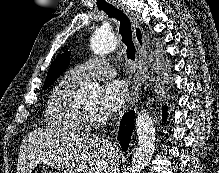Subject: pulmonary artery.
Listing matches in <instances>:
<instances>
[{
  "label": "pulmonary artery",
  "instance_id": "e3ab8cb5",
  "mask_svg": "<svg viewBox=\"0 0 219 173\" xmlns=\"http://www.w3.org/2000/svg\"><path fill=\"white\" fill-rule=\"evenodd\" d=\"M113 73L114 69L107 59L92 57L70 69L66 77L75 83L82 84L90 79L109 77Z\"/></svg>",
  "mask_w": 219,
  "mask_h": 173
}]
</instances>
